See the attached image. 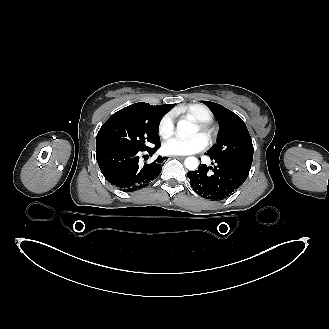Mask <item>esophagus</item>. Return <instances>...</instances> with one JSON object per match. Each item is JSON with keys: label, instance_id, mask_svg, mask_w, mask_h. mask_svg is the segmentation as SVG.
Instances as JSON below:
<instances>
[{"label": "esophagus", "instance_id": "obj_1", "mask_svg": "<svg viewBox=\"0 0 329 329\" xmlns=\"http://www.w3.org/2000/svg\"><path fill=\"white\" fill-rule=\"evenodd\" d=\"M173 157L180 158V159H184L185 158L184 156H173Z\"/></svg>", "mask_w": 329, "mask_h": 329}]
</instances>
